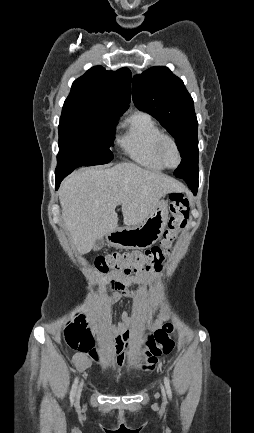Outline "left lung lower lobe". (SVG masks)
Masks as SVG:
<instances>
[{"label": "left lung lower lobe", "mask_w": 254, "mask_h": 433, "mask_svg": "<svg viewBox=\"0 0 254 433\" xmlns=\"http://www.w3.org/2000/svg\"><path fill=\"white\" fill-rule=\"evenodd\" d=\"M193 194L196 195L198 188V180H185Z\"/></svg>", "instance_id": "left-lung-lower-lobe-1"}]
</instances>
